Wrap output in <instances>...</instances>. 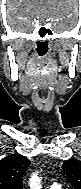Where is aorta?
<instances>
[{
	"mask_svg": "<svg viewBox=\"0 0 81 189\" xmlns=\"http://www.w3.org/2000/svg\"><path fill=\"white\" fill-rule=\"evenodd\" d=\"M30 188L31 189H41L40 179L37 176V173L33 174L32 177H31V179H30Z\"/></svg>",
	"mask_w": 81,
	"mask_h": 189,
	"instance_id": "1",
	"label": "aorta"
}]
</instances>
